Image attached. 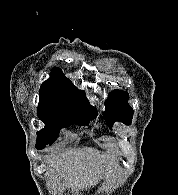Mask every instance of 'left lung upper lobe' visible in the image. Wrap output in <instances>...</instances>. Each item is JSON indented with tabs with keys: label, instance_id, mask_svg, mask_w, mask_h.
<instances>
[{
	"label": "left lung upper lobe",
	"instance_id": "obj_1",
	"mask_svg": "<svg viewBox=\"0 0 178 195\" xmlns=\"http://www.w3.org/2000/svg\"><path fill=\"white\" fill-rule=\"evenodd\" d=\"M129 94L121 90H114L105 101V117L110 128L115 121H120L126 125L131 124L133 109L128 104Z\"/></svg>",
	"mask_w": 178,
	"mask_h": 195
}]
</instances>
